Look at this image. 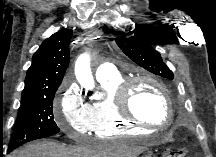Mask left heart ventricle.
<instances>
[{"label": "left heart ventricle", "mask_w": 216, "mask_h": 157, "mask_svg": "<svg viewBox=\"0 0 216 157\" xmlns=\"http://www.w3.org/2000/svg\"><path fill=\"white\" fill-rule=\"evenodd\" d=\"M131 106L139 118L154 124H163L167 118L161 92L148 82L139 83L134 88Z\"/></svg>", "instance_id": "obj_1"}]
</instances>
